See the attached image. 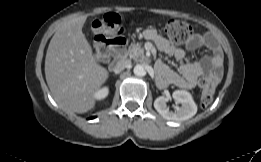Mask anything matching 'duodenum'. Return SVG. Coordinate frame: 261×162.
<instances>
[{
	"mask_svg": "<svg viewBox=\"0 0 261 162\" xmlns=\"http://www.w3.org/2000/svg\"><path fill=\"white\" fill-rule=\"evenodd\" d=\"M125 45V42L123 44H114L110 47V54L114 56H118L122 53L123 47Z\"/></svg>",
	"mask_w": 261,
	"mask_h": 162,
	"instance_id": "1",
	"label": "duodenum"
}]
</instances>
